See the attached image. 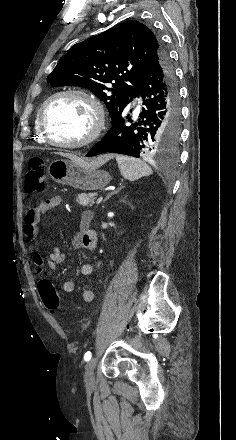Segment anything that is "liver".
<instances>
[{"instance_id":"6515ba94","label":"liver","mask_w":236,"mask_h":440,"mask_svg":"<svg viewBox=\"0 0 236 440\" xmlns=\"http://www.w3.org/2000/svg\"><path fill=\"white\" fill-rule=\"evenodd\" d=\"M57 154H59L60 156H63V157H67L69 159H72L74 161H77L83 165H87L92 168H98V167L102 166L104 163H106L109 159H111L113 157L112 155H105V156H101V157L97 158L96 160L88 163V162H85L84 160H82L81 158L77 157L76 155L71 154V153L59 152Z\"/></svg>"}]
</instances>
